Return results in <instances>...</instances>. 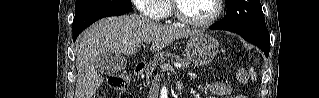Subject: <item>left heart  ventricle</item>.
<instances>
[{"mask_svg":"<svg viewBox=\"0 0 319 98\" xmlns=\"http://www.w3.org/2000/svg\"><path fill=\"white\" fill-rule=\"evenodd\" d=\"M179 7L185 17L198 21L208 19L216 9L214 0H182Z\"/></svg>","mask_w":319,"mask_h":98,"instance_id":"1","label":"left heart ventricle"}]
</instances>
